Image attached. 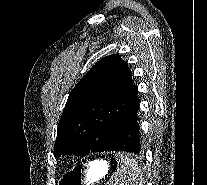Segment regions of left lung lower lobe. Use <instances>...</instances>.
I'll list each match as a JSON object with an SVG mask.
<instances>
[{
	"label": "left lung lower lobe",
	"instance_id": "0a47b994",
	"mask_svg": "<svg viewBox=\"0 0 207 185\" xmlns=\"http://www.w3.org/2000/svg\"><path fill=\"white\" fill-rule=\"evenodd\" d=\"M139 101H137L115 124L109 133L103 151L141 152L138 125Z\"/></svg>",
	"mask_w": 207,
	"mask_h": 185
}]
</instances>
